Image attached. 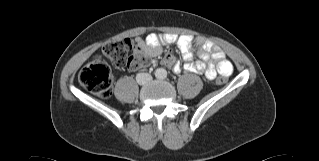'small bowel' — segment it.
<instances>
[{
  "label": "small bowel",
  "instance_id": "1",
  "mask_svg": "<svg viewBox=\"0 0 319 161\" xmlns=\"http://www.w3.org/2000/svg\"><path fill=\"white\" fill-rule=\"evenodd\" d=\"M136 42L145 47L152 56H158L162 53L163 44H176L186 61V70L192 73L204 72L205 77L209 80L214 79L218 73L229 76L233 70L231 63L225 58L219 47L202 40H197L199 46L197 55L200 60L193 63V40L188 35L176 36L174 34L151 33L144 38H136ZM210 59H213L216 65H207ZM164 65L172 68L175 73H179L182 69L181 65L175 60L172 51L167 54Z\"/></svg>",
  "mask_w": 319,
  "mask_h": 161
}]
</instances>
